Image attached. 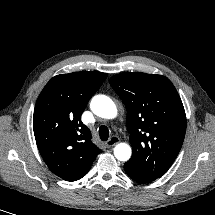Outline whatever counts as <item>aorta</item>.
<instances>
[{
	"mask_svg": "<svg viewBox=\"0 0 215 215\" xmlns=\"http://www.w3.org/2000/svg\"><path fill=\"white\" fill-rule=\"evenodd\" d=\"M91 110L99 117L112 119L117 115L115 103L105 95H97L93 97ZM114 155L119 161H127L131 156V147L126 143H120L114 148Z\"/></svg>",
	"mask_w": 215,
	"mask_h": 215,
	"instance_id": "1",
	"label": "aorta"
}]
</instances>
